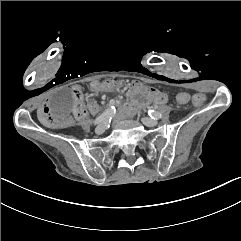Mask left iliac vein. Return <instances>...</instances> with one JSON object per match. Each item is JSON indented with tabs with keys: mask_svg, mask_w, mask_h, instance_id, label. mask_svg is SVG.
<instances>
[{
	"mask_svg": "<svg viewBox=\"0 0 241 241\" xmlns=\"http://www.w3.org/2000/svg\"><path fill=\"white\" fill-rule=\"evenodd\" d=\"M142 122L148 127H155L158 124V121L152 118L144 117Z\"/></svg>",
	"mask_w": 241,
	"mask_h": 241,
	"instance_id": "4c4485c4",
	"label": "left iliac vein"
}]
</instances>
